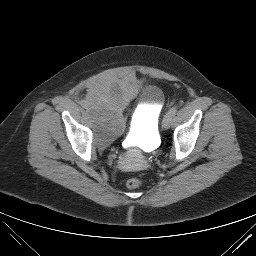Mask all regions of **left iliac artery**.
<instances>
[{
	"label": "left iliac artery",
	"mask_w": 256,
	"mask_h": 256,
	"mask_svg": "<svg viewBox=\"0 0 256 256\" xmlns=\"http://www.w3.org/2000/svg\"><path fill=\"white\" fill-rule=\"evenodd\" d=\"M177 109H178V107H177V106H174V107H172V108L169 110V113H170L172 116H174V115L176 114V112H177Z\"/></svg>",
	"instance_id": "1"
}]
</instances>
